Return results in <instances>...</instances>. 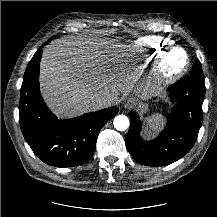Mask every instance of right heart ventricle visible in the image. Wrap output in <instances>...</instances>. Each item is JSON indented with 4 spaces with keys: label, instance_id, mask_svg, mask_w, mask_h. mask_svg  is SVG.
Listing matches in <instances>:
<instances>
[{
    "label": "right heart ventricle",
    "instance_id": "right-heart-ventricle-1",
    "mask_svg": "<svg viewBox=\"0 0 217 217\" xmlns=\"http://www.w3.org/2000/svg\"><path fill=\"white\" fill-rule=\"evenodd\" d=\"M170 46V40L165 37L149 36L136 43V50L142 53H149L151 57L155 58Z\"/></svg>",
    "mask_w": 217,
    "mask_h": 217
}]
</instances>
